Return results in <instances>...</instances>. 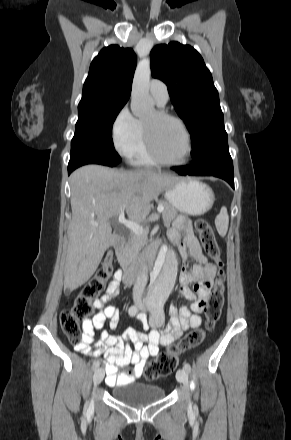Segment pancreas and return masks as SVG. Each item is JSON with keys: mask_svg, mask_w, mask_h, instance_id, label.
<instances>
[{"mask_svg": "<svg viewBox=\"0 0 291 440\" xmlns=\"http://www.w3.org/2000/svg\"><path fill=\"white\" fill-rule=\"evenodd\" d=\"M164 206L163 221L165 226H169L171 221L178 215L177 209L172 207L166 201H160ZM146 244V236L132 233L130 238L124 242L119 248L118 261L122 267L136 263L139 258L141 249Z\"/></svg>", "mask_w": 291, "mask_h": 440, "instance_id": "1", "label": "pancreas"}]
</instances>
